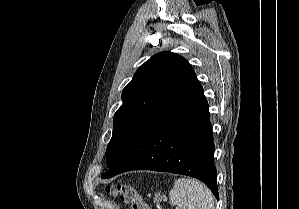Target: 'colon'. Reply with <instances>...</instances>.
Masks as SVG:
<instances>
[{
	"label": "colon",
	"mask_w": 299,
	"mask_h": 209,
	"mask_svg": "<svg viewBox=\"0 0 299 209\" xmlns=\"http://www.w3.org/2000/svg\"><path fill=\"white\" fill-rule=\"evenodd\" d=\"M106 193L118 197L124 202H130L132 209H149L148 205L139 196L136 187L130 183L108 185L105 187Z\"/></svg>",
	"instance_id": "obj_1"
}]
</instances>
